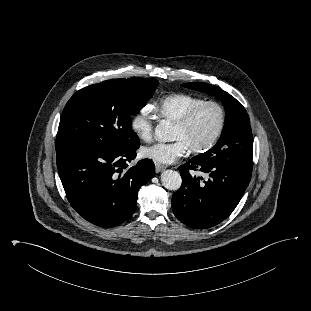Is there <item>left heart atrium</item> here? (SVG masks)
Wrapping results in <instances>:
<instances>
[{
    "instance_id": "left-heart-atrium-1",
    "label": "left heart atrium",
    "mask_w": 311,
    "mask_h": 311,
    "mask_svg": "<svg viewBox=\"0 0 311 311\" xmlns=\"http://www.w3.org/2000/svg\"><path fill=\"white\" fill-rule=\"evenodd\" d=\"M189 147L182 140H175L171 143L158 142L146 146L142 149L143 157L151 159L157 163L171 164L184 156Z\"/></svg>"
}]
</instances>
